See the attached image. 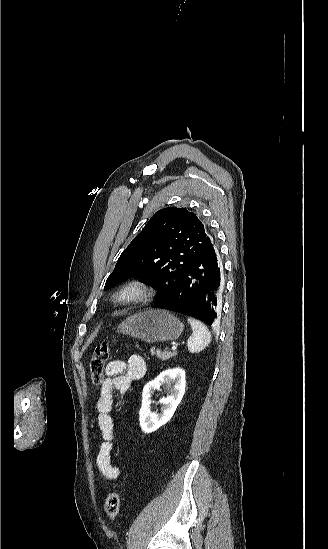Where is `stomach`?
<instances>
[{"label": "stomach", "instance_id": "stomach-1", "mask_svg": "<svg viewBox=\"0 0 328 549\" xmlns=\"http://www.w3.org/2000/svg\"><path fill=\"white\" fill-rule=\"evenodd\" d=\"M184 325L164 309H148L126 317L117 327V333L130 335L146 343L175 341L183 333Z\"/></svg>", "mask_w": 328, "mask_h": 549}]
</instances>
